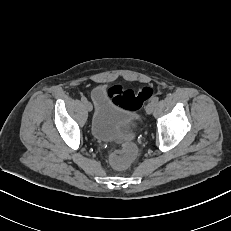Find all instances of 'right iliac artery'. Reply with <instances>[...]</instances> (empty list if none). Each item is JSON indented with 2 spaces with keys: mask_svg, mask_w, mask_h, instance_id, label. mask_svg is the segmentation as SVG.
Instances as JSON below:
<instances>
[{
  "mask_svg": "<svg viewBox=\"0 0 231 231\" xmlns=\"http://www.w3.org/2000/svg\"><path fill=\"white\" fill-rule=\"evenodd\" d=\"M81 101H82V102H86V101H87L86 97H84V96L81 97Z\"/></svg>",
  "mask_w": 231,
  "mask_h": 231,
  "instance_id": "obj_1",
  "label": "right iliac artery"
}]
</instances>
